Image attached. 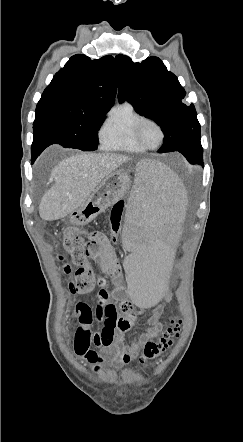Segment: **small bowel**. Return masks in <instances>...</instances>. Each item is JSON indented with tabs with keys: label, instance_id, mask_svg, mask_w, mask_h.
<instances>
[{
	"label": "small bowel",
	"instance_id": "small-bowel-1",
	"mask_svg": "<svg viewBox=\"0 0 243 442\" xmlns=\"http://www.w3.org/2000/svg\"><path fill=\"white\" fill-rule=\"evenodd\" d=\"M92 246L88 250L90 258L98 261L111 278L114 288L108 289L107 279L98 277L99 286L95 306L87 302H77L69 313L70 319L78 321L74 337L75 354L91 365L96 374L107 369L119 370L136 358L146 342L155 338L162 330L161 307H154L147 320L145 330L127 341L125 334L131 329L136 318L133 305L125 294L121 266L117 253L108 243L103 232L90 234ZM94 322L99 327L92 329ZM97 347L98 349L93 348Z\"/></svg>",
	"mask_w": 243,
	"mask_h": 442
}]
</instances>
